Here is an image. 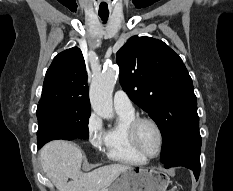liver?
Instances as JSON below:
<instances>
[{
    "label": "liver",
    "mask_w": 233,
    "mask_h": 191,
    "mask_svg": "<svg viewBox=\"0 0 233 191\" xmlns=\"http://www.w3.org/2000/svg\"><path fill=\"white\" fill-rule=\"evenodd\" d=\"M41 166L58 191H102L130 166L111 164L81 171L82 150L72 142L54 140L40 151ZM71 181L68 182V179Z\"/></svg>",
    "instance_id": "1"
}]
</instances>
